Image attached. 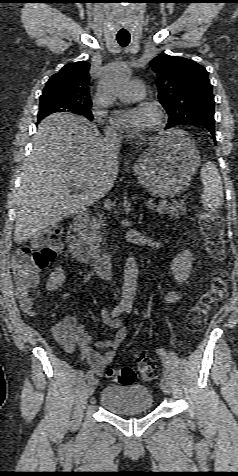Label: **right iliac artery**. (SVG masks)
<instances>
[{"mask_svg":"<svg viewBox=\"0 0 238 476\" xmlns=\"http://www.w3.org/2000/svg\"><path fill=\"white\" fill-rule=\"evenodd\" d=\"M125 309H126L125 305H121V304H120V305L116 306V307L114 308V310L112 311V313H111L112 318H114V317L120 315L123 311H125ZM93 375H94V371L91 370V369L88 370V372H87V374H86L87 378H91V377H93Z\"/></svg>","mask_w":238,"mask_h":476,"instance_id":"right-iliac-artery-1","label":"right iliac artery"}]
</instances>
